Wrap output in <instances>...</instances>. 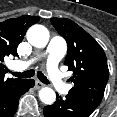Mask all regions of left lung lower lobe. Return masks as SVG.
Wrapping results in <instances>:
<instances>
[{
  "label": "left lung lower lobe",
  "instance_id": "obj_1",
  "mask_svg": "<svg viewBox=\"0 0 117 117\" xmlns=\"http://www.w3.org/2000/svg\"><path fill=\"white\" fill-rule=\"evenodd\" d=\"M45 117H89L92 110L83 106L69 95L62 99L57 95V101L43 109Z\"/></svg>",
  "mask_w": 117,
  "mask_h": 117
}]
</instances>
